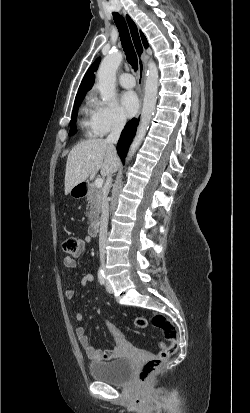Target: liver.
Segmentation results:
<instances>
[{
    "mask_svg": "<svg viewBox=\"0 0 250 413\" xmlns=\"http://www.w3.org/2000/svg\"><path fill=\"white\" fill-rule=\"evenodd\" d=\"M120 160L117 152L104 139H89L78 143L70 151L65 170V195L100 170L102 176L117 171Z\"/></svg>",
    "mask_w": 250,
    "mask_h": 413,
    "instance_id": "1",
    "label": "liver"
}]
</instances>
